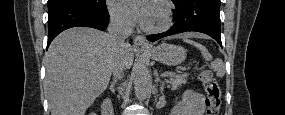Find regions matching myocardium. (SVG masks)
Here are the masks:
<instances>
[{
    "label": "myocardium",
    "instance_id": "obj_1",
    "mask_svg": "<svg viewBox=\"0 0 285 115\" xmlns=\"http://www.w3.org/2000/svg\"><path fill=\"white\" fill-rule=\"evenodd\" d=\"M155 5L159 7L161 16L159 22L154 26H145L144 29L148 32L158 33L167 30L172 25L173 10L169 1L158 0Z\"/></svg>",
    "mask_w": 285,
    "mask_h": 115
}]
</instances>
